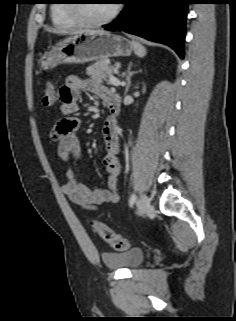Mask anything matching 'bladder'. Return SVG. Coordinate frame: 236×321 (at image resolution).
<instances>
[{
	"label": "bladder",
	"mask_w": 236,
	"mask_h": 321,
	"mask_svg": "<svg viewBox=\"0 0 236 321\" xmlns=\"http://www.w3.org/2000/svg\"><path fill=\"white\" fill-rule=\"evenodd\" d=\"M102 260L108 269H135L145 260V252L135 248L115 253H103Z\"/></svg>",
	"instance_id": "obj_1"
}]
</instances>
